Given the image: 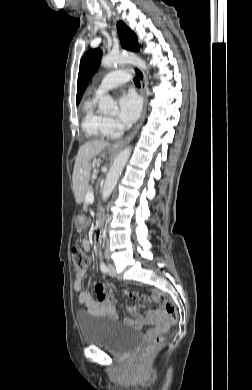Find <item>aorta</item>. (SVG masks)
<instances>
[{
  "mask_svg": "<svg viewBox=\"0 0 252 390\" xmlns=\"http://www.w3.org/2000/svg\"><path fill=\"white\" fill-rule=\"evenodd\" d=\"M130 63L134 64L140 69L147 70L146 62L134 54H109L101 59V65L104 67H112L116 64ZM98 107L103 112L115 111L117 103L110 95H103L100 97ZM131 155V147L128 146L122 150L115 158L112 167L110 168L102 190V199L106 201L113 192L119 176L123 171L128 158Z\"/></svg>",
  "mask_w": 252,
  "mask_h": 390,
  "instance_id": "aorta-1",
  "label": "aorta"
}]
</instances>
